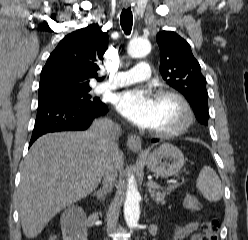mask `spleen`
Segmentation results:
<instances>
[{
	"mask_svg": "<svg viewBox=\"0 0 248 240\" xmlns=\"http://www.w3.org/2000/svg\"><path fill=\"white\" fill-rule=\"evenodd\" d=\"M196 186L208 201L216 202L222 198L221 181L216 172L209 166H205L199 173Z\"/></svg>",
	"mask_w": 248,
	"mask_h": 240,
	"instance_id": "spleen-1",
	"label": "spleen"
}]
</instances>
